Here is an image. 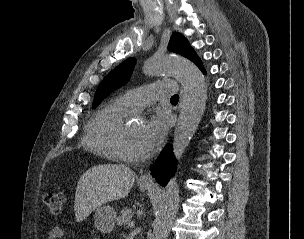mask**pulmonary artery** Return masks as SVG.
Instances as JSON below:
<instances>
[{
  "label": "pulmonary artery",
  "instance_id": "1",
  "mask_svg": "<svg viewBox=\"0 0 304 239\" xmlns=\"http://www.w3.org/2000/svg\"><path fill=\"white\" fill-rule=\"evenodd\" d=\"M175 92L174 82L162 81L127 91L120 97V100L132 110H140L160 98L173 95Z\"/></svg>",
  "mask_w": 304,
  "mask_h": 239
}]
</instances>
